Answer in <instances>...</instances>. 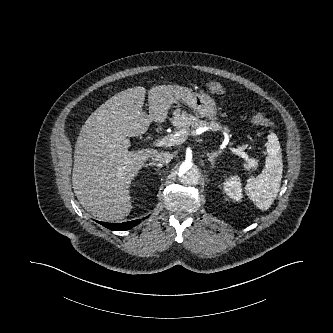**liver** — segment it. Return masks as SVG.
Listing matches in <instances>:
<instances>
[{"instance_id": "liver-1", "label": "liver", "mask_w": 333, "mask_h": 333, "mask_svg": "<svg viewBox=\"0 0 333 333\" xmlns=\"http://www.w3.org/2000/svg\"><path fill=\"white\" fill-rule=\"evenodd\" d=\"M192 92L178 85L148 91L149 115L142 111L146 89L123 90L86 120L74 150L73 189L87 212L103 221H120L132 210L130 184L156 150L130 151L128 137L166 120L171 105Z\"/></svg>"}]
</instances>
